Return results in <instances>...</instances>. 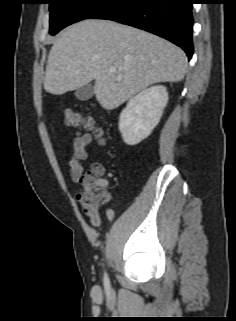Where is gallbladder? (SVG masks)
I'll list each match as a JSON object with an SVG mask.
<instances>
[{"mask_svg": "<svg viewBox=\"0 0 236 321\" xmlns=\"http://www.w3.org/2000/svg\"><path fill=\"white\" fill-rule=\"evenodd\" d=\"M94 95V87L92 84H87L75 91V96L81 101H86Z\"/></svg>", "mask_w": 236, "mask_h": 321, "instance_id": "1", "label": "gallbladder"}]
</instances>
